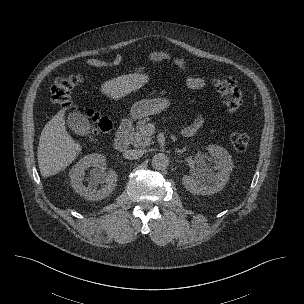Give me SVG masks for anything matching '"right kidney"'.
<instances>
[{
    "label": "right kidney",
    "instance_id": "obj_1",
    "mask_svg": "<svg viewBox=\"0 0 304 304\" xmlns=\"http://www.w3.org/2000/svg\"><path fill=\"white\" fill-rule=\"evenodd\" d=\"M104 165L105 157L100 154L93 153L81 158L69 173L74 191L89 201H99L111 194L117 183V174L111 169L106 171ZM90 166L94 168L86 187L83 184L84 172Z\"/></svg>",
    "mask_w": 304,
    "mask_h": 304
}]
</instances>
